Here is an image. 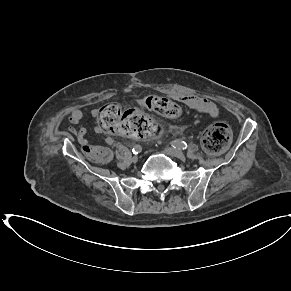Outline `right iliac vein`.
I'll use <instances>...</instances> for the list:
<instances>
[{
	"instance_id": "1",
	"label": "right iliac vein",
	"mask_w": 291,
	"mask_h": 291,
	"mask_svg": "<svg viewBox=\"0 0 291 291\" xmlns=\"http://www.w3.org/2000/svg\"><path fill=\"white\" fill-rule=\"evenodd\" d=\"M137 160H138V156L137 155H135V156L132 157V161L133 162H136Z\"/></svg>"
}]
</instances>
